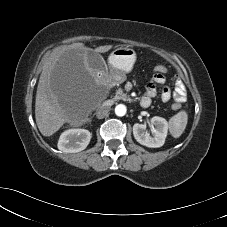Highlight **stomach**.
<instances>
[{
	"instance_id": "0dacf381",
	"label": "stomach",
	"mask_w": 227,
	"mask_h": 227,
	"mask_svg": "<svg viewBox=\"0 0 227 227\" xmlns=\"http://www.w3.org/2000/svg\"><path fill=\"white\" fill-rule=\"evenodd\" d=\"M136 60V53L127 46L116 48L109 56L110 67L118 74V81L125 78V74L130 72Z\"/></svg>"
}]
</instances>
